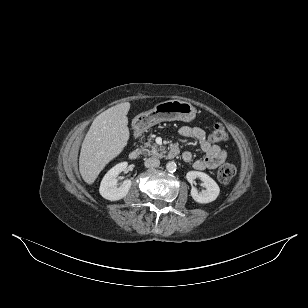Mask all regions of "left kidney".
<instances>
[{"mask_svg": "<svg viewBox=\"0 0 308 308\" xmlns=\"http://www.w3.org/2000/svg\"><path fill=\"white\" fill-rule=\"evenodd\" d=\"M189 183H193L194 179L199 178L203 181L206 190L198 192L195 187L191 189L192 198L201 204L210 203L219 196L220 188L218 184L206 173L199 171H190L186 174Z\"/></svg>", "mask_w": 308, "mask_h": 308, "instance_id": "1", "label": "left kidney"}]
</instances>
